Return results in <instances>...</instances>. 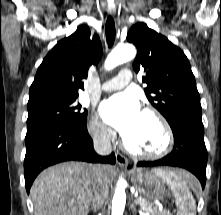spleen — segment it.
<instances>
[{
	"label": "spleen",
	"instance_id": "spleen-1",
	"mask_svg": "<svg viewBox=\"0 0 221 215\" xmlns=\"http://www.w3.org/2000/svg\"><path fill=\"white\" fill-rule=\"evenodd\" d=\"M157 174L165 180L171 189L176 199L179 214L195 215L196 204L190 192V189H194L197 185L195 177L185 171L165 172L157 170Z\"/></svg>",
	"mask_w": 221,
	"mask_h": 215
}]
</instances>
